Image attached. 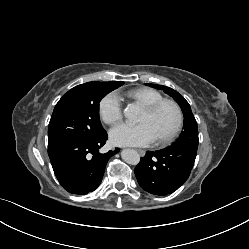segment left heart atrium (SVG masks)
<instances>
[{
	"instance_id": "left-heart-atrium-1",
	"label": "left heart atrium",
	"mask_w": 249,
	"mask_h": 249,
	"mask_svg": "<svg viewBox=\"0 0 249 249\" xmlns=\"http://www.w3.org/2000/svg\"><path fill=\"white\" fill-rule=\"evenodd\" d=\"M156 140L147 123L119 124L110 131V141L118 146H146Z\"/></svg>"
}]
</instances>
